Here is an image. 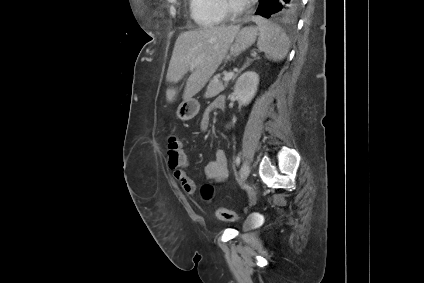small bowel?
I'll use <instances>...</instances> for the list:
<instances>
[{"label": "small bowel", "instance_id": "small-bowel-1", "mask_svg": "<svg viewBox=\"0 0 424 283\" xmlns=\"http://www.w3.org/2000/svg\"><path fill=\"white\" fill-rule=\"evenodd\" d=\"M224 100L223 97L216 98L210 106L207 108L204 113L201 122L200 128L205 130L208 127L209 123V113L211 110L219 108L221 101ZM180 154L183 158V163L172 167L170 165V158L168 157V164L171 169H173V177L180 185L182 190L189 196H193L196 193L197 186L195 182L187 175L184 171V167L187 165V156L182 148H180ZM205 176L209 180L216 182L224 181L228 176V160L224 150L218 149L215 152L214 159L207 163L205 166Z\"/></svg>", "mask_w": 424, "mask_h": 283}]
</instances>
